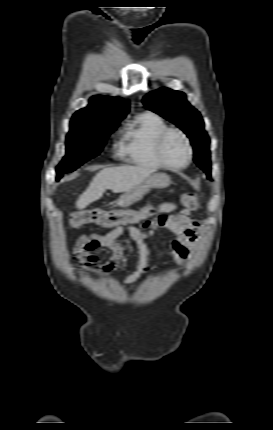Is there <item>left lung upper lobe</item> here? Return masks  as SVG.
<instances>
[{
	"instance_id": "5c2ea615",
	"label": "left lung upper lobe",
	"mask_w": 273,
	"mask_h": 430,
	"mask_svg": "<svg viewBox=\"0 0 273 430\" xmlns=\"http://www.w3.org/2000/svg\"><path fill=\"white\" fill-rule=\"evenodd\" d=\"M146 108L161 115L182 129L194 148V161L204 169L211 165L209 139L200 113L186 100L181 91L161 88L143 98Z\"/></svg>"
}]
</instances>
